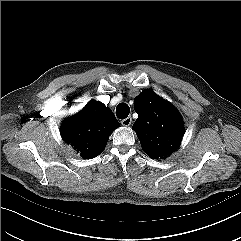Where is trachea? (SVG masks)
<instances>
[{"instance_id":"1","label":"trachea","mask_w":241,"mask_h":241,"mask_svg":"<svg viewBox=\"0 0 241 241\" xmlns=\"http://www.w3.org/2000/svg\"><path fill=\"white\" fill-rule=\"evenodd\" d=\"M130 113V108L126 103H120L118 104L117 108H116V116L119 119H125L128 117Z\"/></svg>"}]
</instances>
